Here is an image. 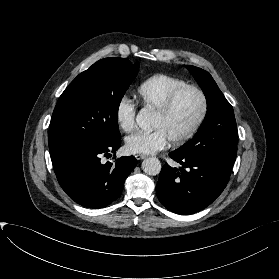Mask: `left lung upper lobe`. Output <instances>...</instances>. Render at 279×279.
<instances>
[{
	"instance_id": "left-lung-upper-lobe-1",
	"label": "left lung upper lobe",
	"mask_w": 279,
	"mask_h": 279,
	"mask_svg": "<svg viewBox=\"0 0 279 279\" xmlns=\"http://www.w3.org/2000/svg\"><path fill=\"white\" fill-rule=\"evenodd\" d=\"M188 69L205 94L207 114L195 136L175 152L192 159L211 158L232 168L238 139L233 108L208 72L191 65Z\"/></svg>"
}]
</instances>
